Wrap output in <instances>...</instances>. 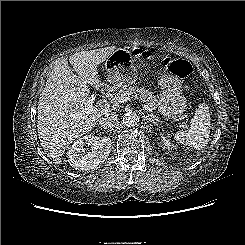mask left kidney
Instances as JSON below:
<instances>
[{"label":"left kidney","mask_w":245,"mask_h":245,"mask_svg":"<svg viewBox=\"0 0 245 245\" xmlns=\"http://www.w3.org/2000/svg\"><path fill=\"white\" fill-rule=\"evenodd\" d=\"M162 142L167 147H170L171 146V141H170L169 136H162Z\"/></svg>","instance_id":"left-kidney-1"}]
</instances>
